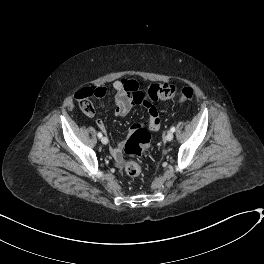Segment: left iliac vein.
Masks as SVG:
<instances>
[{
  "mask_svg": "<svg viewBox=\"0 0 264 264\" xmlns=\"http://www.w3.org/2000/svg\"><path fill=\"white\" fill-rule=\"evenodd\" d=\"M173 138H174V135H173L172 132H168V133L166 134L165 139H166L167 141H172Z\"/></svg>",
  "mask_w": 264,
  "mask_h": 264,
  "instance_id": "obj_1",
  "label": "left iliac vein"
}]
</instances>
